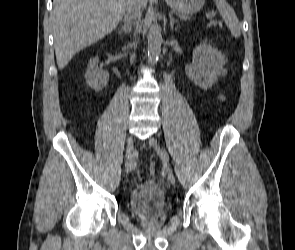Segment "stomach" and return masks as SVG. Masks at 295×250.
<instances>
[{
  "label": "stomach",
  "instance_id": "0dacf381",
  "mask_svg": "<svg viewBox=\"0 0 295 250\" xmlns=\"http://www.w3.org/2000/svg\"><path fill=\"white\" fill-rule=\"evenodd\" d=\"M175 11L182 14L198 12L204 5L205 0H165Z\"/></svg>",
  "mask_w": 295,
  "mask_h": 250
}]
</instances>
